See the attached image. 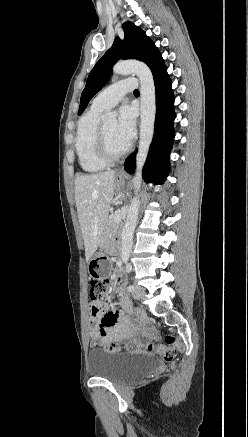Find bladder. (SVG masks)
<instances>
[{
    "mask_svg": "<svg viewBox=\"0 0 248 437\" xmlns=\"http://www.w3.org/2000/svg\"><path fill=\"white\" fill-rule=\"evenodd\" d=\"M89 373L113 383H125L154 371L157 360L145 353H116L92 350L88 354Z\"/></svg>",
    "mask_w": 248,
    "mask_h": 437,
    "instance_id": "1",
    "label": "bladder"
}]
</instances>
